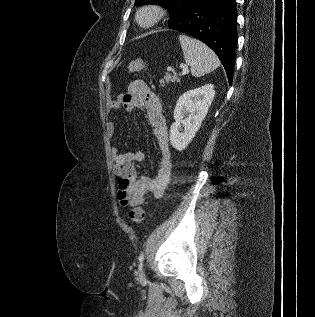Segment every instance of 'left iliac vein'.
<instances>
[{
  "instance_id": "4c4485c4",
  "label": "left iliac vein",
  "mask_w": 315,
  "mask_h": 317,
  "mask_svg": "<svg viewBox=\"0 0 315 317\" xmlns=\"http://www.w3.org/2000/svg\"><path fill=\"white\" fill-rule=\"evenodd\" d=\"M139 279H145V273H144V271L143 270H141L140 271V273H139Z\"/></svg>"
}]
</instances>
